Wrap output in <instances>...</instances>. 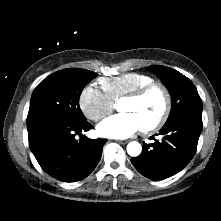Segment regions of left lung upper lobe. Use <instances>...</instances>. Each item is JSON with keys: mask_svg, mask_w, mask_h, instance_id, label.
<instances>
[{"mask_svg": "<svg viewBox=\"0 0 221 221\" xmlns=\"http://www.w3.org/2000/svg\"><path fill=\"white\" fill-rule=\"evenodd\" d=\"M148 69L160 77L171 94L172 109L167 122L184 114L202 115V101L190 79L180 72L164 66L152 65Z\"/></svg>", "mask_w": 221, "mask_h": 221, "instance_id": "5c2ea615", "label": "left lung upper lobe"}]
</instances>
